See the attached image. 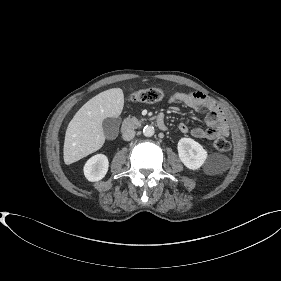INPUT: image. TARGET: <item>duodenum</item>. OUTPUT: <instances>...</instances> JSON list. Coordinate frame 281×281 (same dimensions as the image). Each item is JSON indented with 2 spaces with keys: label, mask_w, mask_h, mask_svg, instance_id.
Masks as SVG:
<instances>
[{
  "label": "duodenum",
  "mask_w": 281,
  "mask_h": 281,
  "mask_svg": "<svg viewBox=\"0 0 281 281\" xmlns=\"http://www.w3.org/2000/svg\"><path fill=\"white\" fill-rule=\"evenodd\" d=\"M156 126L162 130L165 131L167 130V124L165 123V120L162 116L158 115L155 120H154ZM141 123L134 121V120H128L126 122L123 123L122 125V132H126L127 130L134 128V127H138L140 126Z\"/></svg>",
  "instance_id": "duodenum-1"
}]
</instances>
